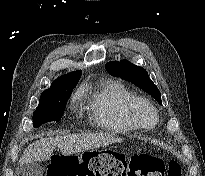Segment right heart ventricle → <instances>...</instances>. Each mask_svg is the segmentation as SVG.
Returning a JSON list of instances; mask_svg holds the SVG:
<instances>
[{"label": "right heart ventricle", "mask_w": 205, "mask_h": 176, "mask_svg": "<svg viewBox=\"0 0 205 176\" xmlns=\"http://www.w3.org/2000/svg\"><path fill=\"white\" fill-rule=\"evenodd\" d=\"M134 94L120 81H98L89 99L90 114L95 124L112 134H127L136 130L127 108Z\"/></svg>", "instance_id": "e07e8e85"}]
</instances>
